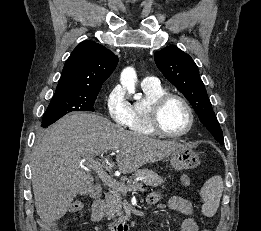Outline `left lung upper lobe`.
<instances>
[{
	"label": "left lung upper lobe",
	"instance_id": "left-lung-upper-lobe-1",
	"mask_svg": "<svg viewBox=\"0 0 261 231\" xmlns=\"http://www.w3.org/2000/svg\"><path fill=\"white\" fill-rule=\"evenodd\" d=\"M155 62L167 80L189 100L203 125L224 144L222 130L192 58L172 45L157 52Z\"/></svg>",
	"mask_w": 261,
	"mask_h": 231
}]
</instances>
